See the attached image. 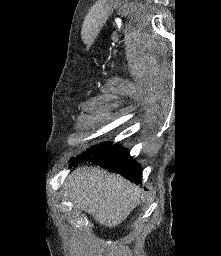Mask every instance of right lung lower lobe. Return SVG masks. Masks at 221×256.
<instances>
[{"instance_id":"obj_1","label":"right lung lower lobe","mask_w":221,"mask_h":256,"mask_svg":"<svg viewBox=\"0 0 221 256\" xmlns=\"http://www.w3.org/2000/svg\"><path fill=\"white\" fill-rule=\"evenodd\" d=\"M88 161L116 172L132 182L141 183V167L134 162L129 152L120 146L109 144L88 158Z\"/></svg>"}]
</instances>
